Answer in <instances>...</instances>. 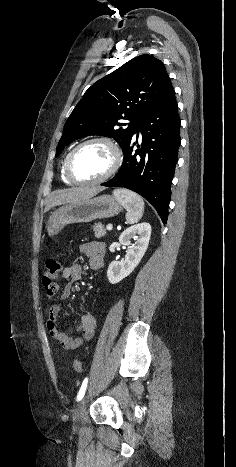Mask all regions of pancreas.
Here are the masks:
<instances>
[{"label":"pancreas","instance_id":"pancreas-1","mask_svg":"<svg viewBox=\"0 0 236 467\" xmlns=\"http://www.w3.org/2000/svg\"><path fill=\"white\" fill-rule=\"evenodd\" d=\"M93 230L95 232V237L96 238H101V237H104L106 235V229L104 228V226L101 224V223H98V224H95L93 226Z\"/></svg>","mask_w":236,"mask_h":467}]
</instances>
